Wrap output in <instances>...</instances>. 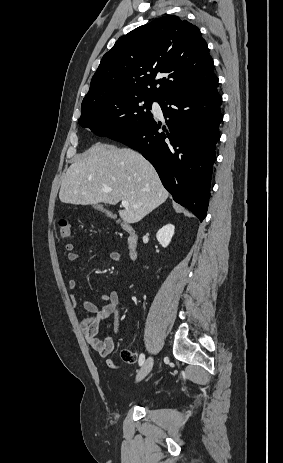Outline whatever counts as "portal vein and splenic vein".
I'll return each instance as SVG.
<instances>
[{"instance_id": "portal-vein-and-splenic-vein-1", "label": "portal vein and splenic vein", "mask_w": 283, "mask_h": 463, "mask_svg": "<svg viewBox=\"0 0 283 463\" xmlns=\"http://www.w3.org/2000/svg\"><path fill=\"white\" fill-rule=\"evenodd\" d=\"M122 206H123V207H128V206H129L128 201L123 200V201H122Z\"/></svg>"}]
</instances>
